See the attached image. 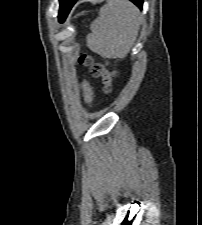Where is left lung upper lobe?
<instances>
[{"label": "left lung upper lobe", "mask_w": 202, "mask_h": 225, "mask_svg": "<svg viewBox=\"0 0 202 225\" xmlns=\"http://www.w3.org/2000/svg\"><path fill=\"white\" fill-rule=\"evenodd\" d=\"M77 0H59L60 9H59V19L60 21L65 20L68 13L70 12L72 6Z\"/></svg>", "instance_id": "5c2ea615"}]
</instances>
